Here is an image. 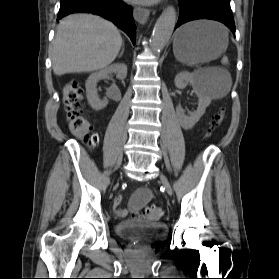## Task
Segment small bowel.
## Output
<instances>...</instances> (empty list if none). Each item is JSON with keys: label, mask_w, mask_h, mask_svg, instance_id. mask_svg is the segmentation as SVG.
Segmentation results:
<instances>
[{"label": "small bowel", "mask_w": 279, "mask_h": 279, "mask_svg": "<svg viewBox=\"0 0 279 279\" xmlns=\"http://www.w3.org/2000/svg\"><path fill=\"white\" fill-rule=\"evenodd\" d=\"M152 192L148 188H139L134 192L129 203V210L133 213L141 209L147 202L150 201ZM121 199L117 198L113 205V210L116 216L124 217L127 210L120 207Z\"/></svg>", "instance_id": "small-bowel-1"}]
</instances>
